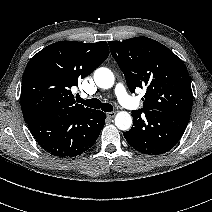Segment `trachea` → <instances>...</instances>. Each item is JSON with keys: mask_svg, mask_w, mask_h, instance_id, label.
<instances>
[{"mask_svg": "<svg viewBox=\"0 0 212 212\" xmlns=\"http://www.w3.org/2000/svg\"><path fill=\"white\" fill-rule=\"evenodd\" d=\"M76 99L79 103L84 104L90 108L101 109L105 112H111L113 110V106L111 104L102 103L99 99L96 98L84 100L80 97H77Z\"/></svg>", "mask_w": 212, "mask_h": 212, "instance_id": "trachea-1", "label": "trachea"}]
</instances>
